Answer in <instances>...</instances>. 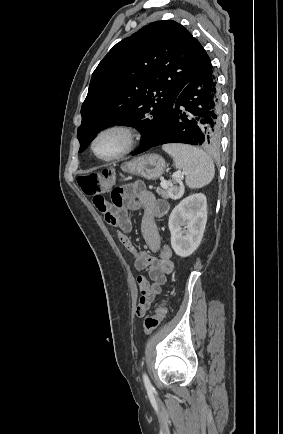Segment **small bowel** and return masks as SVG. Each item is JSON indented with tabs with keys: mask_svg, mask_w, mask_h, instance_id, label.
I'll use <instances>...</instances> for the list:
<instances>
[{
	"mask_svg": "<svg viewBox=\"0 0 283 434\" xmlns=\"http://www.w3.org/2000/svg\"><path fill=\"white\" fill-rule=\"evenodd\" d=\"M94 206L104 214L106 222L117 228V236L134 260L135 267L147 276L137 278L141 297L136 308V316L142 318L149 310L155 296L161 292L167 275L173 271L171 260L172 249L161 243V236L157 221L163 218L168 210V203L157 199L141 182L117 187L111 192V200H106L101 193L93 197ZM129 210H142L141 232L143 238L154 254L138 250L129 237L132 224L128 218Z\"/></svg>",
	"mask_w": 283,
	"mask_h": 434,
	"instance_id": "small-bowel-1",
	"label": "small bowel"
}]
</instances>
